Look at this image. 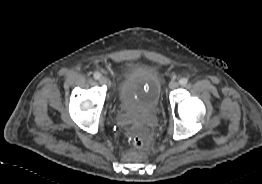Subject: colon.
I'll return each mask as SVG.
<instances>
[{
    "mask_svg": "<svg viewBox=\"0 0 262 184\" xmlns=\"http://www.w3.org/2000/svg\"><path fill=\"white\" fill-rule=\"evenodd\" d=\"M133 144L137 147V148H141L145 145V140L144 138L140 137V136H136L133 138Z\"/></svg>",
    "mask_w": 262,
    "mask_h": 184,
    "instance_id": "1",
    "label": "colon"
}]
</instances>
